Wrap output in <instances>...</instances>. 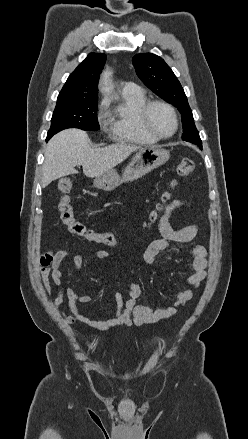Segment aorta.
I'll return each mask as SVG.
<instances>
[{"mask_svg": "<svg viewBox=\"0 0 248 439\" xmlns=\"http://www.w3.org/2000/svg\"><path fill=\"white\" fill-rule=\"evenodd\" d=\"M111 76H112V72L110 70H106L102 74L101 91L103 93H110L111 92Z\"/></svg>", "mask_w": 248, "mask_h": 439, "instance_id": "1", "label": "aorta"}]
</instances>
